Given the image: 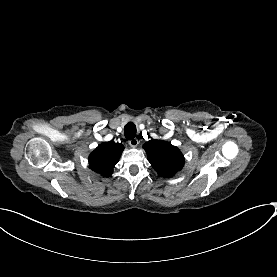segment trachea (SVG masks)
I'll use <instances>...</instances> for the list:
<instances>
[{
	"label": "trachea",
	"instance_id": "obj_1",
	"mask_svg": "<svg viewBox=\"0 0 277 277\" xmlns=\"http://www.w3.org/2000/svg\"><path fill=\"white\" fill-rule=\"evenodd\" d=\"M124 136L128 140H132L136 137V126L134 123L129 122L125 125Z\"/></svg>",
	"mask_w": 277,
	"mask_h": 277
}]
</instances>
